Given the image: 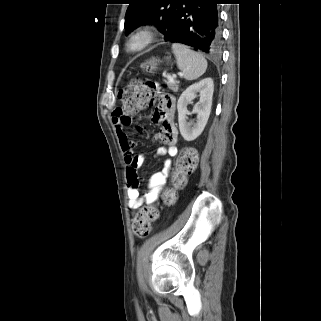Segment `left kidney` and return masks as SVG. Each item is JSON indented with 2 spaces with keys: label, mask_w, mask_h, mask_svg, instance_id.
<instances>
[{
  "label": "left kidney",
  "mask_w": 321,
  "mask_h": 321,
  "mask_svg": "<svg viewBox=\"0 0 321 321\" xmlns=\"http://www.w3.org/2000/svg\"><path fill=\"white\" fill-rule=\"evenodd\" d=\"M213 91V79L205 78L189 86L179 97L177 103L178 122L184 140L193 141L203 132L211 112ZM197 92L200 94V100L193 109V113L197 114V120L191 125L186 121V116L189 113L187 105L194 99Z\"/></svg>",
  "instance_id": "obj_1"
}]
</instances>
